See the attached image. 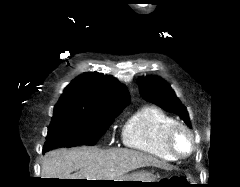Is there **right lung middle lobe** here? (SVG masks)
<instances>
[{
  "label": "right lung middle lobe",
  "instance_id": "dd1d6c3e",
  "mask_svg": "<svg viewBox=\"0 0 240 187\" xmlns=\"http://www.w3.org/2000/svg\"><path fill=\"white\" fill-rule=\"evenodd\" d=\"M121 110L94 112L54 108L43 152L57 147L94 145Z\"/></svg>",
  "mask_w": 240,
  "mask_h": 187
}]
</instances>
